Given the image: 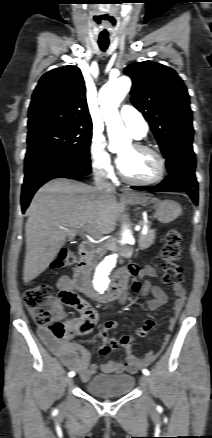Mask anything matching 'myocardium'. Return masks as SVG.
I'll return each mask as SVG.
<instances>
[{
    "mask_svg": "<svg viewBox=\"0 0 212 438\" xmlns=\"http://www.w3.org/2000/svg\"><path fill=\"white\" fill-rule=\"evenodd\" d=\"M133 147L139 151H143V152H147L150 153L151 155H153L158 163V173L155 177L148 179V180H134L129 178L121 169V167H119V175L121 177V179L123 181H125L126 183L132 184V185H137V186H149V185H153L156 184L160 181H162L165 177L166 174V162L165 159L163 158V156L154 148L141 144V143H136L133 145Z\"/></svg>",
    "mask_w": 212,
    "mask_h": 438,
    "instance_id": "myocardium-1",
    "label": "myocardium"
}]
</instances>
